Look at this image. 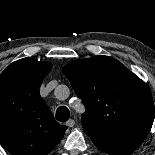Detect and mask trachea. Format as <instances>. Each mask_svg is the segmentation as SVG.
Segmentation results:
<instances>
[{
  "label": "trachea",
  "mask_w": 155,
  "mask_h": 155,
  "mask_svg": "<svg viewBox=\"0 0 155 155\" xmlns=\"http://www.w3.org/2000/svg\"><path fill=\"white\" fill-rule=\"evenodd\" d=\"M70 117L69 109L65 106H60L56 111V119L60 122H66Z\"/></svg>",
  "instance_id": "obj_1"
}]
</instances>
